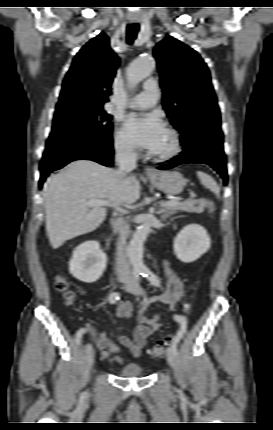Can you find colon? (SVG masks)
Listing matches in <instances>:
<instances>
[{
    "label": "colon",
    "mask_w": 273,
    "mask_h": 430,
    "mask_svg": "<svg viewBox=\"0 0 273 430\" xmlns=\"http://www.w3.org/2000/svg\"><path fill=\"white\" fill-rule=\"evenodd\" d=\"M209 212H213V205L212 203H209L208 205ZM56 289L60 291L63 294V297L65 298L67 303H71L73 299V293L69 289L68 283L66 279L62 276H58L55 282ZM185 310L187 312L190 311V304L186 305ZM182 326H180L181 328ZM172 340V337L165 341H158L149 351V355L152 358H158L163 355L165 349L167 348V345ZM117 360H120L118 357H116Z\"/></svg>",
    "instance_id": "obj_1"
}]
</instances>
